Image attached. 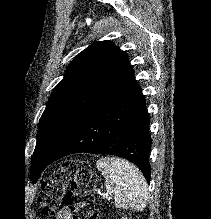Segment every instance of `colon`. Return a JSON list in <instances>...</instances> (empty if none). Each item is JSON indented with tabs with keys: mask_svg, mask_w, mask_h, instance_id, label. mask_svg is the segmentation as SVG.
Returning <instances> with one entry per match:
<instances>
[{
	"mask_svg": "<svg viewBox=\"0 0 211 219\" xmlns=\"http://www.w3.org/2000/svg\"><path fill=\"white\" fill-rule=\"evenodd\" d=\"M96 184L97 178L85 162H62L42 184L39 202L43 215L52 216L64 204L72 219H102L93 206Z\"/></svg>",
	"mask_w": 211,
	"mask_h": 219,
	"instance_id": "colon-1",
	"label": "colon"
}]
</instances>
